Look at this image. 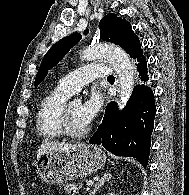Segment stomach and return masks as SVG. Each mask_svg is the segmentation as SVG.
Wrapping results in <instances>:
<instances>
[{"label":"stomach","mask_w":189,"mask_h":195,"mask_svg":"<svg viewBox=\"0 0 189 195\" xmlns=\"http://www.w3.org/2000/svg\"><path fill=\"white\" fill-rule=\"evenodd\" d=\"M106 163L104 151L94 145L66 151H52L37 158L36 172L46 183L60 184L85 177Z\"/></svg>","instance_id":"1"}]
</instances>
